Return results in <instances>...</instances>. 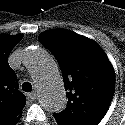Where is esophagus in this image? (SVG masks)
<instances>
[{
	"label": "esophagus",
	"instance_id": "esophagus-1",
	"mask_svg": "<svg viewBox=\"0 0 125 125\" xmlns=\"http://www.w3.org/2000/svg\"><path fill=\"white\" fill-rule=\"evenodd\" d=\"M27 97H28L29 100L33 101V100L36 99L37 93L36 92H31V93L27 94Z\"/></svg>",
	"mask_w": 125,
	"mask_h": 125
}]
</instances>
